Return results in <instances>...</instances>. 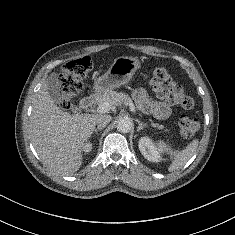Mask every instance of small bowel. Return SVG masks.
<instances>
[{
	"label": "small bowel",
	"instance_id": "small-bowel-1",
	"mask_svg": "<svg viewBox=\"0 0 235 235\" xmlns=\"http://www.w3.org/2000/svg\"><path fill=\"white\" fill-rule=\"evenodd\" d=\"M133 97L141 110L158 119H166L172 114V108L168 104L152 100L143 88L136 89Z\"/></svg>",
	"mask_w": 235,
	"mask_h": 235
}]
</instances>
